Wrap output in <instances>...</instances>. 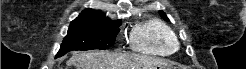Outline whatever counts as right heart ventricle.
Instances as JSON below:
<instances>
[{
    "label": "right heart ventricle",
    "mask_w": 246,
    "mask_h": 69,
    "mask_svg": "<svg viewBox=\"0 0 246 69\" xmlns=\"http://www.w3.org/2000/svg\"><path fill=\"white\" fill-rule=\"evenodd\" d=\"M130 45L137 52L164 56L175 51L178 44L170 27L158 18H150L131 31Z\"/></svg>",
    "instance_id": "right-heart-ventricle-1"
}]
</instances>
